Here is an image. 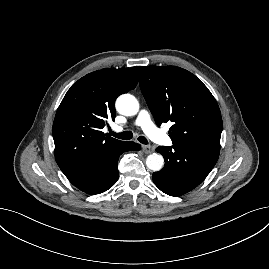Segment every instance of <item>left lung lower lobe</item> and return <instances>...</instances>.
Returning a JSON list of instances; mask_svg holds the SVG:
<instances>
[{
  "label": "left lung lower lobe",
  "mask_w": 269,
  "mask_h": 269,
  "mask_svg": "<svg viewBox=\"0 0 269 269\" xmlns=\"http://www.w3.org/2000/svg\"><path fill=\"white\" fill-rule=\"evenodd\" d=\"M164 168L153 173L155 185L170 196L183 195L197 187L215 166L220 150L199 145L158 147Z\"/></svg>",
  "instance_id": "obj_1"
}]
</instances>
